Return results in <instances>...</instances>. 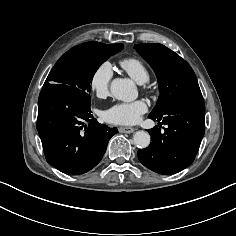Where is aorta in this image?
<instances>
[{"label":"aorta","instance_id":"762f6f07","mask_svg":"<svg viewBox=\"0 0 236 236\" xmlns=\"http://www.w3.org/2000/svg\"><path fill=\"white\" fill-rule=\"evenodd\" d=\"M110 91L112 95L124 102H131L138 96V91L134 82L127 78H116L111 82ZM134 143L139 148H146L149 146L151 139L148 132L137 131L134 136Z\"/></svg>","mask_w":236,"mask_h":236}]
</instances>
